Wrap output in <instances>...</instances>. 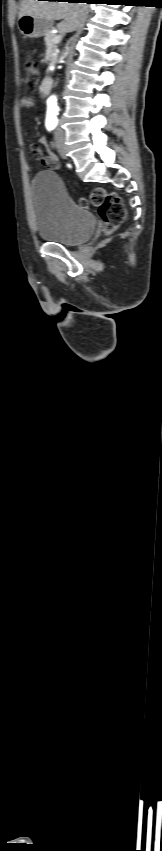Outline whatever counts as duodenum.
Here are the masks:
<instances>
[{
    "label": "duodenum",
    "instance_id": "1",
    "mask_svg": "<svg viewBox=\"0 0 162 851\" xmlns=\"http://www.w3.org/2000/svg\"><path fill=\"white\" fill-rule=\"evenodd\" d=\"M52 88V79L50 77H45L41 84V90L43 94H48Z\"/></svg>",
    "mask_w": 162,
    "mask_h": 851
}]
</instances>
